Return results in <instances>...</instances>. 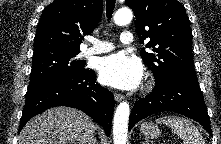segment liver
I'll use <instances>...</instances> for the list:
<instances>
[{
  "label": "liver",
  "mask_w": 221,
  "mask_h": 144,
  "mask_svg": "<svg viewBox=\"0 0 221 144\" xmlns=\"http://www.w3.org/2000/svg\"><path fill=\"white\" fill-rule=\"evenodd\" d=\"M95 129L85 113L70 107H54L26 123L18 144H93Z\"/></svg>",
  "instance_id": "liver-1"
}]
</instances>
